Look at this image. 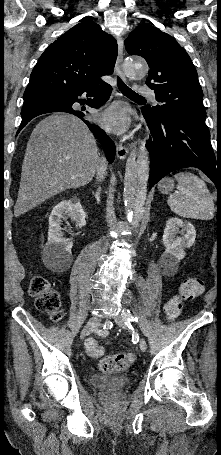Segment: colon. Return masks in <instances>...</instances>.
<instances>
[{
  "instance_id": "5ec220e1",
  "label": "colon",
  "mask_w": 221,
  "mask_h": 455,
  "mask_svg": "<svg viewBox=\"0 0 221 455\" xmlns=\"http://www.w3.org/2000/svg\"><path fill=\"white\" fill-rule=\"evenodd\" d=\"M204 291V283L200 278H189L182 282L178 292L164 306L165 317L175 320L182 312L184 303L199 297ZM29 294L35 298L36 308L46 314L51 320L59 321L63 316L61 298L50 281L40 274L31 276L28 288ZM86 353L93 358L103 354V347L94 339L85 342ZM133 353H118L101 358L99 368L105 373L121 372L129 369L134 363Z\"/></svg>"
}]
</instances>
